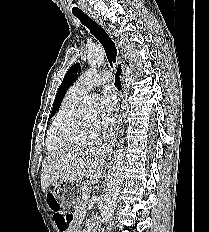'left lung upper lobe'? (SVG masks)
<instances>
[{
  "label": "left lung upper lobe",
  "instance_id": "left-lung-upper-lobe-1",
  "mask_svg": "<svg viewBox=\"0 0 209 232\" xmlns=\"http://www.w3.org/2000/svg\"><path fill=\"white\" fill-rule=\"evenodd\" d=\"M79 68H80V64H74L73 66L70 67V69L65 74L64 79L58 88L50 117H52L59 109L63 97L67 89L73 84Z\"/></svg>",
  "mask_w": 209,
  "mask_h": 232
}]
</instances>
